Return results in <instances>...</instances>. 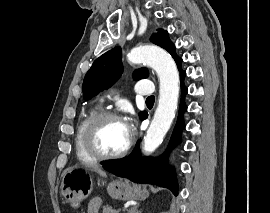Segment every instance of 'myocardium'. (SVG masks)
Wrapping results in <instances>:
<instances>
[{"label":"myocardium","mask_w":270,"mask_h":213,"mask_svg":"<svg viewBox=\"0 0 270 213\" xmlns=\"http://www.w3.org/2000/svg\"><path fill=\"white\" fill-rule=\"evenodd\" d=\"M108 120H122V119L115 112L111 111L100 112L91 119L84 133V146L86 151L96 160L100 161L120 159L129 153L133 145V138L130 135L127 145L121 151L113 154H105L101 152L96 145V136L102 124Z\"/></svg>","instance_id":"myocardium-1"}]
</instances>
